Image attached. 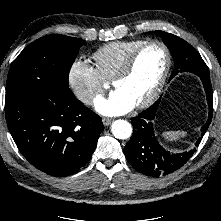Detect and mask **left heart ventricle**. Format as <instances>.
Here are the masks:
<instances>
[{
    "label": "left heart ventricle",
    "mask_w": 221,
    "mask_h": 221,
    "mask_svg": "<svg viewBox=\"0 0 221 221\" xmlns=\"http://www.w3.org/2000/svg\"><path fill=\"white\" fill-rule=\"evenodd\" d=\"M165 66V53L158 45L147 47L139 55L131 74L116 83L135 105L146 99L158 84Z\"/></svg>",
    "instance_id": "b2bd125f"
}]
</instances>
